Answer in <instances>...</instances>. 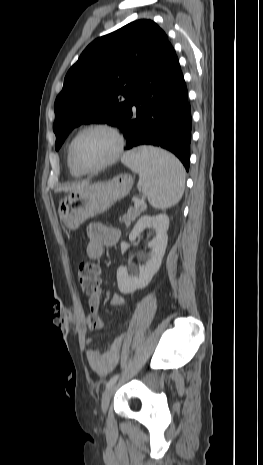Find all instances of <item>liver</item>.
<instances>
[{
  "mask_svg": "<svg viewBox=\"0 0 263 465\" xmlns=\"http://www.w3.org/2000/svg\"><path fill=\"white\" fill-rule=\"evenodd\" d=\"M88 185H89L88 181H83L81 183H76V184H72L69 186L61 187L57 189V191L74 192V191H79Z\"/></svg>",
  "mask_w": 263,
  "mask_h": 465,
  "instance_id": "liver-1",
  "label": "liver"
}]
</instances>
